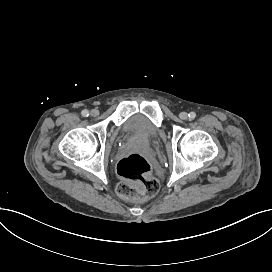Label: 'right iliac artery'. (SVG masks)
<instances>
[{"label":"right iliac artery","mask_w":272,"mask_h":272,"mask_svg":"<svg viewBox=\"0 0 272 272\" xmlns=\"http://www.w3.org/2000/svg\"><path fill=\"white\" fill-rule=\"evenodd\" d=\"M81 114H82L83 117H88V116H89L88 110H83V111L81 112Z\"/></svg>","instance_id":"right-iliac-artery-1"}]
</instances>
